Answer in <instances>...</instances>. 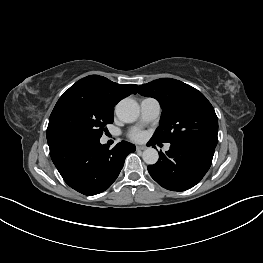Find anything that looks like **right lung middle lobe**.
Returning a JSON list of instances; mask_svg holds the SVG:
<instances>
[{
    "label": "right lung middle lobe",
    "instance_id": "dd1d6c3e",
    "mask_svg": "<svg viewBox=\"0 0 263 263\" xmlns=\"http://www.w3.org/2000/svg\"><path fill=\"white\" fill-rule=\"evenodd\" d=\"M113 110L79 95L60 97L49 119L48 145L77 139H100L113 123Z\"/></svg>",
    "mask_w": 263,
    "mask_h": 263
}]
</instances>
